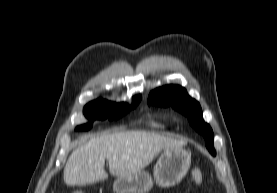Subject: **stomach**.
<instances>
[{
  "instance_id": "obj_1",
  "label": "stomach",
  "mask_w": 277,
  "mask_h": 193,
  "mask_svg": "<svg viewBox=\"0 0 277 193\" xmlns=\"http://www.w3.org/2000/svg\"><path fill=\"white\" fill-rule=\"evenodd\" d=\"M191 154L183 147L164 149L153 169L154 181L161 187H172L186 175ZM153 186L151 175L141 170L126 177H118L113 184L115 193H147Z\"/></svg>"
}]
</instances>
